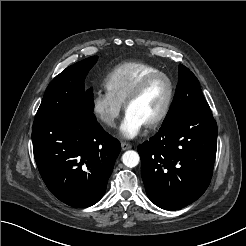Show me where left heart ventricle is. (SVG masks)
<instances>
[{
  "mask_svg": "<svg viewBox=\"0 0 246 246\" xmlns=\"http://www.w3.org/2000/svg\"><path fill=\"white\" fill-rule=\"evenodd\" d=\"M168 93L169 86L167 81L164 78H157L130 104L127 111L138 116L146 125L161 113Z\"/></svg>",
  "mask_w": 246,
  "mask_h": 246,
  "instance_id": "b2bd125f",
  "label": "left heart ventricle"
}]
</instances>
